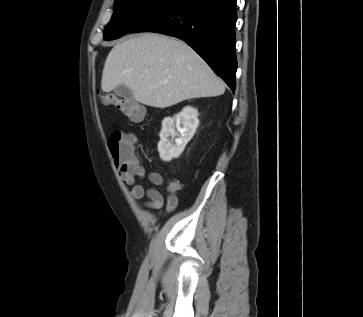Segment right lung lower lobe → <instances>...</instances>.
Instances as JSON below:
<instances>
[{
  "label": "right lung lower lobe",
  "instance_id": "obj_1",
  "mask_svg": "<svg viewBox=\"0 0 363 317\" xmlns=\"http://www.w3.org/2000/svg\"><path fill=\"white\" fill-rule=\"evenodd\" d=\"M237 0H177L130 32H157L192 47L234 92Z\"/></svg>",
  "mask_w": 363,
  "mask_h": 317
}]
</instances>
